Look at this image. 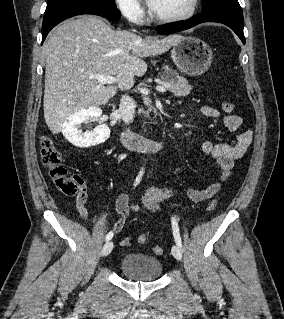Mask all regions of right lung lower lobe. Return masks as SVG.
Here are the masks:
<instances>
[{"instance_id":"1","label":"right lung lower lobe","mask_w":284,"mask_h":319,"mask_svg":"<svg viewBox=\"0 0 284 319\" xmlns=\"http://www.w3.org/2000/svg\"><path fill=\"white\" fill-rule=\"evenodd\" d=\"M82 14H93L102 16L112 21L121 17L120 11L114 7H71L60 10L48 17H44L42 24V43L50 30L63 20Z\"/></svg>"}]
</instances>
